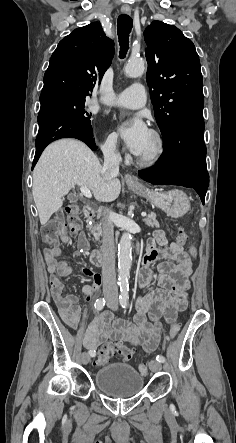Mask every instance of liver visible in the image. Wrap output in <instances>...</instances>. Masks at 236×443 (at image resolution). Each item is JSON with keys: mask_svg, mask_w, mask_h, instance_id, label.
<instances>
[{"mask_svg": "<svg viewBox=\"0 0 236 443\" xmlns=\"http://www.w3.org/2000/svg\"><path fill=\"white\" fill-rule=\"evenodd\" d=\"M75 185L88 188L102 202L114 201L121 191L118 179L104 177L99 159L86 144L75 139L51 143L33 171L32 194L41 225L61 208Z\"/></svg>", "mask_w": 236, "mask_h": 443, "instance_id": "obj_1", "label": "liver"}]
</instances>
